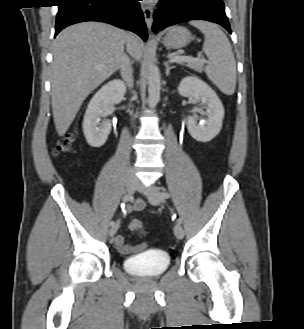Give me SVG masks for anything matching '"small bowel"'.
I'll list each match as a JSON object with an SVG mask.
<instances>
[{
    "label": "small bowel",
    "instance_id": "1",
    "mask_svg": "<svg viewBox=\"0 0 304 329\" xmlns=\"http://www.w3.org/2000/svg\"><path fill=\"white\" fill-rule=\"evenodd\" d=\"M145 206V203L142 200L136 201L132 206L127 208V211L130 210H141ZM115 246L116 249L122 254H131L134 252H139L146 249L147 244L141 243L138 245H130L125 242V238L123 235H117L115 237Z\"/></svg>",
    "mask_w": 304,
    "mask_h": 329
}]
</instances>
